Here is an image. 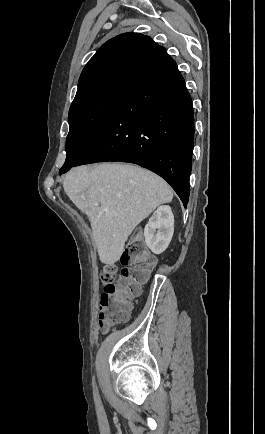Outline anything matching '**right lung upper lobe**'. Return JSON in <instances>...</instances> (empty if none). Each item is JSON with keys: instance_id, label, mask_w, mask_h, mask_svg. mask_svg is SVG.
<instances>
[{"instance_id": "1", "label": "right lung upper lobe", "mask_w": 265, "mask_h": 434, "mask_svg": "<svg viewBox=\"0 0 265 434\" xmlns=\"http://www.w3.org/2000/svg\"><path fill=\"white\" fill-rule=\"evenodd\" d=\"M166 50L139 33L118 35L104 43L84 67L79 85L116 74H132L146 69Z\"/></svg>"}]
</instances>
